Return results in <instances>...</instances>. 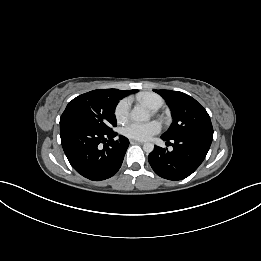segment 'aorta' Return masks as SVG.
<instances>
[{
	"mask_svg": "<svg viewBox=\"0 0 261 261\" xmlns=\"http://www.w3.org/2000/svg\"><path fill=\"white\" fill-rule=\"evenodd\" d=\"M131 119L137 122H144L150 119V113L148 110L141 106H136L130 113ZM143 150L147 153H151L154 150V144L151 142L144 143Z\"/></svg>",
	"mask_w": 261,
	"mask_h": 261,
	"instance_id": "aorta-1",
	"label": "aorta"
}]
</instances>
